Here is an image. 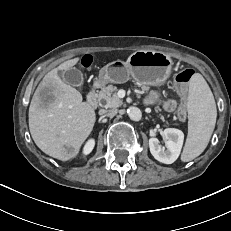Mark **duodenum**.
<instances>
[{
  "instance_id": "1",
  "label": "duodenum",
  "mask_w": 231,
  "mask_h": 231,
  "mask_svg": "<svg viewBox=\"0 0 231 231\" xmlns=\"http://www.w3.org/2000/svg\"><path fill=\"white\" fill-rule=\"evenodd\" d=\"M99 87H100V82L96 81L87 95V104L91 108H95L97 106L98 103L97 90Z\"/></svg>"
}]
</instances>
